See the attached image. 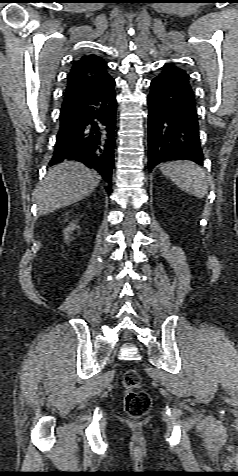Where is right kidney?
Segmentation results:
<instances>
[{"label":"right kidney","instance_id":"ca27d5eb","mask_svg":"<svg viewBox=\"0 0 238 476\" xmlns=\"http://www.w3.org/2000/svg\"><path fill=\"white\" fill-rule=\"evenodd\" d=\"M76 224L75 223H71L65 230H64V239H65V242L68 243V240H70V234L72 233V231L76 228Z\"/></svg>","mask_w":238,"mask_h":476}]
</instances>
